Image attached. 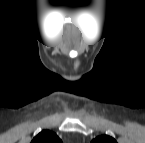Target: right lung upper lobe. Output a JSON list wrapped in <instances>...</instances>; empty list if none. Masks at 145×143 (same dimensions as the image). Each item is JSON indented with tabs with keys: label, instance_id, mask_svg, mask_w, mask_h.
<instances>
[{
	"label": "right lung upper lobe",
	"instance_id": "1",
	"mask_svg": "<svg viewBox=\"0 0 145 143\" xmlns=\"http://www.w3.org/2000/svg\"><path fill=\"white\" fill-rule=\"evenodd\" d=\"M31 143H62V141L55 133L43 130L34 137Z\"/></svg>",
	"mask_w": 145,
	"mask_h": 143
}]
</instances>
